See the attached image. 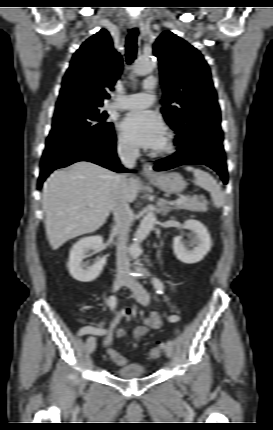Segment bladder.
Listing matches in <instances>:
<instances>
[{"label":"bladder","instance_id":"31cf9c89","mask_svg":"<svg viewBox=\"0 0 273 430\" xmlns=\"http://www.w3.org/2000/svg\"><path fill=\"white\" fill-rule=\"evenodd\" d=\"M145 367L138 363H130L122 366L116 371V375L122 379L140 378L145 375Z\"/></svg>","mask_w":273,"mask_h":430}]
</instances>
